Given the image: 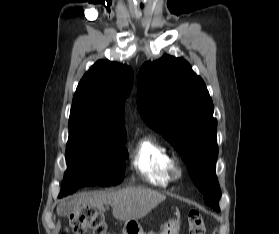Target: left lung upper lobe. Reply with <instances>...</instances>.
Returning <instances> with one entry per match:
<instances>
[{
	"mask_svg": "<svg viewBox=\"0 0 279 234\" xmlns=\"http://www.w3.org/2000/svg\"><path fill=\"white\" fill-rule=\"evenodd\" d=\"M137 105L146 124L182 156L205 203L220 211L217 120L204 81L187 61L164 55L140 68Z\"/></svg>",
	"mask_w": 279,
	"mask_h": 234,
	"instance_id": "5c2ea615",
	"label": "left lung upper lobe"
}]
</instances>
